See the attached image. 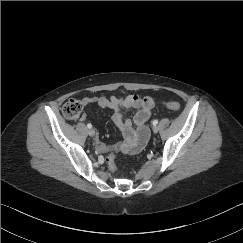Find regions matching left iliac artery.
I'll return each instance as SVG.
<instances>
[{"mask_svg": "<svg viewBox=\"0 0 243 243\" xmlns=\"http://www.w3.org/2000/svg\"><path fill=\"white\" fill-rule=\"evenodd\" d=\"M152 124H153V126H156V125L158 124V120H154V121L152 122Z\"/></svg>", "mask_w": 243, "mask_h": 243, "instance_id": "44dca946", "label": "left iliac artery"}]
</instances>
